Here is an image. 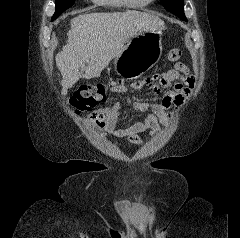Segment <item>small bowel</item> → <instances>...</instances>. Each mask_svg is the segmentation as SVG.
<instances>
[{
    "label": "small bowel",
    "instance_id": "small-bowel-1",
    "mask_svg": "<svg viewBox=\"0 0 240 238\" xmlns=\"http://www.w3.org/2000/svg\"><path fill=\"white\" fill-rule=\"evenodd\" d=\"M176 81L173 90L164 94L158 102L148 103L142 101H132L126 98L125 102L141 113H147L143 122H137L126 129H116V124L121 113V104L116 103L105 108H100L91 114V118L100 120L106 126L108 132L116 137L124 139L131 144H141V133H147L149 136L157 134L161 125H167L170 121L168 109L171 107L181 108L185 100L189 97L193 87L194 78L190 74L189 68L183 63H176L172 69L164 71L161 76H151L133 82L129 86L121 81L115 82L111 87V92L123 93L128 90L138 91L145 86H152L155 92L160 88H166Z\"/></svg>",
    "mask_w": 240,
    "mask_h": 238
}]
</instances>
